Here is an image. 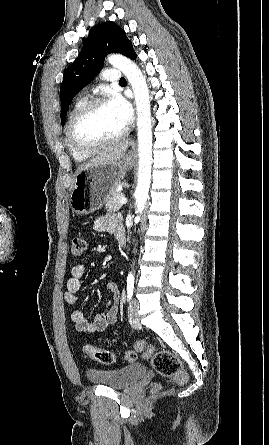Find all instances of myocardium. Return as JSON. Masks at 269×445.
I'll return each instance as SVG.
<instances>
[{
	"label": "myocardium",
	"instance_id": "myocardium-1",
	"mask_svg": "<svg viewBox=\"0 0 269 445\" xmlns=\"http://www.w3.org/2000/svg\"><path fill=\"white\" fill-rule=\"evenodd\" d=\"M105 103H108V99L105 97L92 98V99L86 101L70 118L68 125H67L66 137H67V141L70 144V146L77 152H80L83 154L95 153L108 145H111V144H114V143L120 141L127 135L129 128L126 126L125 129L123 131H121L119 134H117L116 136L96 142V143H93V144H86L84 142H81L76 137V127H77L78 123L91 111H93L94 109H96L97 107H99Z\"/></svg>",
	"mask_w": 269,
	"mask_h": 445
}]
</instances>
